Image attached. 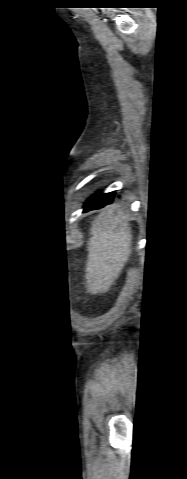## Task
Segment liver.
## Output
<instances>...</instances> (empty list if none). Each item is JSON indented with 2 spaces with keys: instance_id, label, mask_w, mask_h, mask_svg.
<instances>
[{
  "instance_id": "obj_1",
  "label": "liver",
  "mask_w": 187,
  "mask_h": 479,
  "mask_svg": "<svg viewBox=\"0 0 187 479\" xmlns=\"http://www.w3.org/2000/svg\"><path fill=\"white\" fill-rule=\"evenodd\" d=\"M87 244L86 283L91 294L107 292L121 274L131 253V227L116 206L97 215Z\"/></svg>"
}]
</instances>
